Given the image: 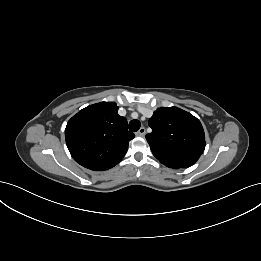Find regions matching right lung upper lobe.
<instances>
[{
  "instance_id": "right-lung-upper-lobe-1",
  "label": "right lung upper lobe",
  "mask_w": 261,
  "mask_h": 261,
  "mask_svg": "<svg viewBox=\"0 0 261 261\" xmlns=\"http://www.w3.org/2000/svg\"><path fill=\"white\" fill-rule=\"evenodd\" d=\"M134 137L114 102H100L80 110L65 129L66 144L73 159L95 171L117 165Z\"/></svg>"
}]
</instances>
